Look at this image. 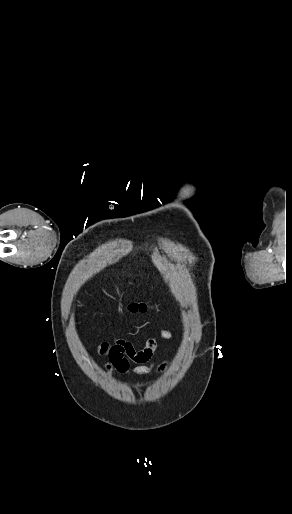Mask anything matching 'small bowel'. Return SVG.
Returning <instances> with one entry per match:
<instances>
[{"mask_svg": "<svg viewBox=\"0 0 292 514\" xmlns=\"http://www.w3.org/2000/svg\"><path fill=\"white\" fill-rule=\"evenodd\" d=\"M173 332L160 330L159 337L152 336L147 339L142 349H136L133 344L122 338H114L112 342L104 341L95 344V348L101 355H108L109 359L104 368L108 374L114 370L121 374L147 375L152 372L161 373L166 369L165 362L153 361V355L158 347L159 338L171 339ZM135 364L134 367H131Z\"/></svg>", "mask_w": 292, "mask_h": 514, "instance_id": "small-bowel-1", "label": "small bowel"}]
</instances>
